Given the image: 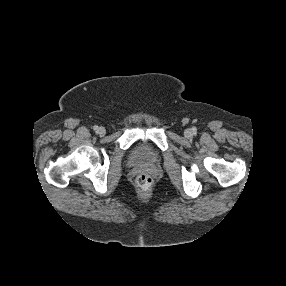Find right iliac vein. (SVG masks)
<instances>
[{
	"label": "right iliac vein",
	"mask_w": 286,
	"mask_h": 286,
	"mask_svg": "<svg viewBox=\"0 0 286 286\" xmlns=\"http://www.w3.org/2000/svg\"><path fill=\"white\" fill-rule=\"evenodd\" d=\"M97 133L100 136H104L106 134V129L104 127H99L98 130H97Z\"/></svg>",
	"instance_id": "1"
}]
</instances>
